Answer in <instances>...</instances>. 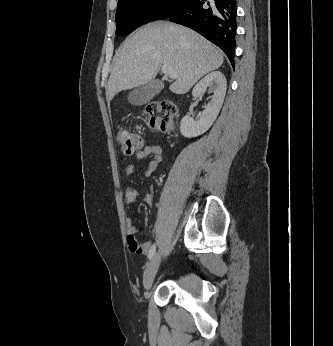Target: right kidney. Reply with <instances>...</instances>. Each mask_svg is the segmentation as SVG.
<instances>
[{"label": "right kidney", "instance_id": "ca27d5eb", "mask_svg": "<svg viewBox=\"0 0 333 346\" xmlns=\"http://www.w3.org/2000/svg\"><path fill=\"white\" fill-rule=\"evenodd\" d=\"M208 88L209 93H213L210 102L204 107L198 121L189 115L182 118L180 132L184 137H196L206 132L214 123L222 107L227 81L224 74L220 71H213L201 79L193 88L192 95L197 98Z\"/></svg>", "mask_w": 333, "mask_h": 346}]
</instances>
